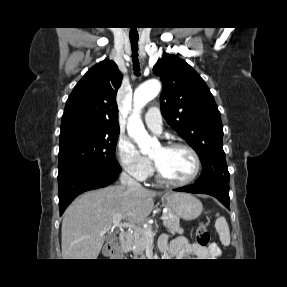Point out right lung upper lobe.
I'll list each match as a JSON object with an SVG mask.
<instances>
[{"mask_svg":"<svg viewBox=\"0 0 287 287\" xmlns=\"http://www.w3.org/2000/svg\"><path fill=\"white\" fill-rule=\"evenodd\" d=\"M121 82L117 65L109 59L89 69L67 99L61 130L77 124L119 129L115 98Z\"/></svg>","mask_w":287,"mask_h":287,"instance_id":"right-lung-upper-lobe-1","label":"right lung upper lobe"}]
</instances>
